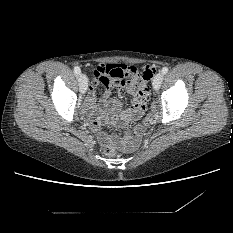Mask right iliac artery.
Instances as JSON below:
<instances>
[{
	"mask_svg": "<svg viewBox=\"0 0 233 233\" xmlns=\"http://www.w3.org/2000/svg\"><path fill=\"white\" fill-rule=\"evenodd\" d=\"M74 73L79 75L81 73V69L78 66L74 67Z\"/></svg>",
	"mask_w": 233,
	"mask_h": 233,
	"instance_id": "1",
	"label": "right iliac artery"
}]
</instances>
